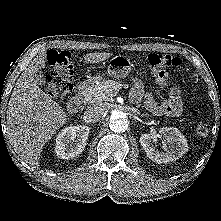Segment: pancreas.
I'll list each match as a JSON object with an SVG mask.
<instances>
[{
  "label": "pancreas",
  "instance_id": "cf45deb5",
  "mask_svg": "<svg viewBox=\"0 0 221 221\" xmlns=\"http://www.w3.org/2000/svg\"><path fill=\"white\" fill-rule=\"evenodd\" d=\"M124 85L113 80H103L88 89L86 98L94 104L110 101Z\"/></svg>",
  "mask_w": 221,
  "mask_h": 221
}]
</instances>
